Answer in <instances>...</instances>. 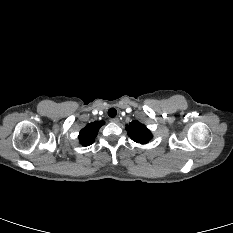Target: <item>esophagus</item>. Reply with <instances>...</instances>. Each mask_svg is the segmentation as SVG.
Listing matches in <instances>:
<instances>
[{"mask_svg":"<svg viewBox=\"0 0 233 233\" xmlns=\"http://www.w3.org/2000/svg\"><path fill=\"white\" fill-rule=\"evenodd\" d=\"M110 121L113 123H118L119 119L117 117H115V118H111Z\"/></svg>","mask_w":233,"mask_h":233,"instance_id":"34e87169","label":"esophagus"}]
</instances>
